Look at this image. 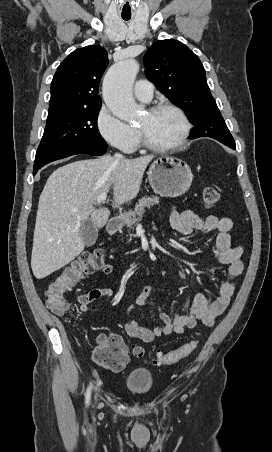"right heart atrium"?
I'll use <instances>...</instances> for the list:
<instances>
[{
	"mask_svg": "<svg viewBox=\"0 0 272 452\" xmlns=\"http://www.w3.org/2000/svg\"><path fill=\"white\" fill-rule=\"evenodd\" d=\"M96 128L100 136L111 146L124 152H131L137 143L136 130L101 106L96 116Z\"/></svg>",
	"mask_w": 272,
	"mask_h": 452,
	"instance_id": "right-heart-atrium-1",
	"label": "right heart atrium"
}]
</instances>
